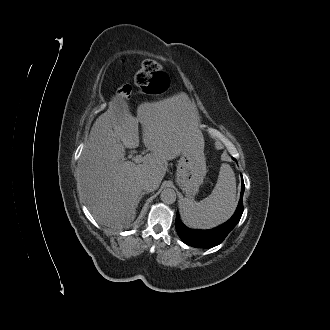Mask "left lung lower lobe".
Here are the masks:
<instances>
[{"label":"left lung lower lobe","instance_id":"1","mask_svg":"<svg viewBox=\"0 0 330 330\" xmlns=\"http://www.w3.org/2000/svg\"><path fill=\"white\" fill-rule=\"evenodd\" d=\"M242 177V176H241ZM244 182L242 178V187L239 204L233 216L224 224L210 229V230H194L187 228L180 220L179 213L177 211L176 216V230L181 240L189 246L196 248H211L219 245L231 230L239 222L243 213V192Z\"/></svg>","mask_w":330,"mask_h":330}]
</instances>
